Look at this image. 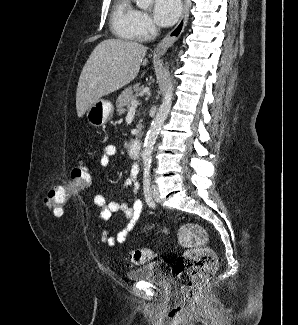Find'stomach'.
I'll return each mask as SVG.
<instances>
[{"instance_id":"0dacf381","label":"stomach","mask_w":298,"mask_h":325,"mask_svg":"<svg viewBox=\"0 0 298 325\" xmlns=\"http://www.w3.org/2000/svg\"><path fill=\"white\" fill-rule=\"evenodd\" d=\"M114 114V104L111 100H98L86 112L87 120L93 126H103L111 120Z\"/></svg>"}]
</instances>
